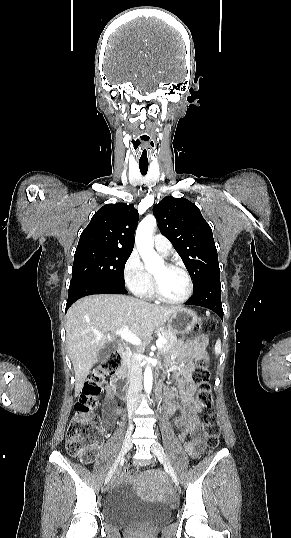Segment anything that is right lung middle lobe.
Wrapping results in <instances>:
<instances>
[{
    "label": "right lung middle lobe",
    "mask_w": 291,
    "mask_h": 538,
    "mask_svg": "<svg viewBox=\"0 0 291 538\" xmlns=\"http://www.w3.org/2000/svg\"><path fill=\"white\" fill-rule=\"evenodd\" d=\"M131 250L88 248L75 252L70 287L95 283L125 288L124 267Z\"/></svg>",
    "instance_id": "1"
}]
</instances>
